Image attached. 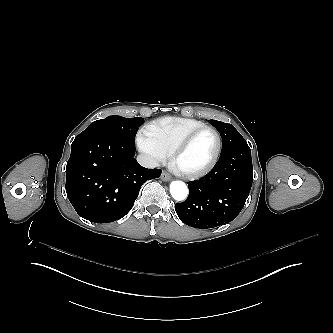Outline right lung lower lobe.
<instances>
[{"label": "right lung lower lobe", "mask_w": 333, "mask_h": 333, "mask_svg": "<svg viewBox=\"0 0 333 333\" xmlns=\"http://www.w3.org/2000/svg\"><path fill=\"white\" fill-rule=\"evenodd\" d=\"M135 143L96 132L79 134L71 145L66 167L67 197L89 221L119 220L132 208L141 185L161 175L134 158Z\"/></svg>", "instance_id": "obj_1"}]
</instances>
